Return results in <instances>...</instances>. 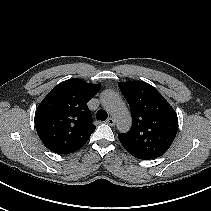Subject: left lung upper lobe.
<instances>
[{
  "label": "left lung upper lobe",
  "mask_w": 211,
  "mask_h": 211,
  "mask_svg": "<svg viewBox=\"0 0 211 211\" xmlns=\"http://www.w3.org/2000/svg\"><path fill=\"white\" fill-rule=\"evenodd\" d=\"M132 115V126L118 135L123 147L138 159H154L171 146L178 130V118L166 99L142 81L120 82Z\"/></svg>",
  "instance_id": "5c2ea615"
}]
</instances>
